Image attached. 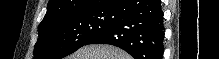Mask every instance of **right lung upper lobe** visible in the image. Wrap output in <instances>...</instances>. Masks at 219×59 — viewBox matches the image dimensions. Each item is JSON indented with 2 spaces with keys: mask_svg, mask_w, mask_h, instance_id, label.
<instances>
[{
  "mask_svg": "<svg viewBox=\"0 0 219 59\" xmlns=\"http://www.w3.org/2000/svg\"><path fill=\"white\" fill-rule=\"evenodd\" d=\"M119 0H49L41 24L57 18L113 9Z\"/></svg>",
  "mask_w": 219,
  "mask_h": 59,
  "instance_id": "obj_1",
  "label": "right lung upper lobe"
}]
</instances>
